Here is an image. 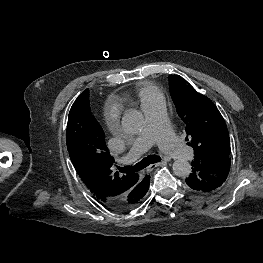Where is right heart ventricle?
<instances>
[{
	"instance_id": "e07e8e85",
	"label": "right heart ventricle",
	"mask_w": 263,
	"mask_h": 263,
	"mask_svg": "<svg viewBox=\"0 0 263 263\" xmlns=\"http://www.w3.org/2000/svg\"><path fill=\"white\" fill-rule=\"evenodd\" d=\"M136 97L140 101L141 105L144 106L158 98H161V93L154 84L145 83L137 88Z\"/></svg>"
}]
</instances>
